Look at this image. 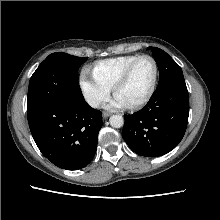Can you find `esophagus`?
<instances>
[{"mask_svg": "<svg viewBox=\"0 0 220 220\" xmlns=\"http://www.w3.org/2000/svg\"><path fill=\"white\" fill-rule=\"evenodd\" d=\"M111 114L109 112H103V118L106 119L110 116Z\"/></svg>", "mask_w": 220, "mask_h": 220, "instance_id": "1", "label": "esophagus"}]
</instances>
